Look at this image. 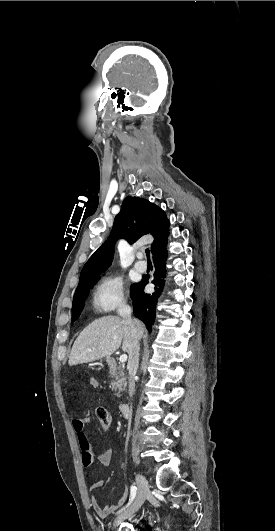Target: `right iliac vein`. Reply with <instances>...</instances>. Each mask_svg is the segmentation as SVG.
Instances as JSON below:
<instances>
[{"label": "right iliac vein", "mask_w": 275, "mask_h": 531, "mask_svg": "<svg viewBox=\"0 0 275 531\" xmlns=\"http://www.w3.org/2000/svg\"><path fill=\"white\" fill-rule=\"evenodd\" d=\"M136 482L138 487L137 497L135 498L134 502L131 504L130 507H128L125 511H123L120 515L117 516V518L114 520L113 528L118 526L123 520L133 516L140 509L145 499L147 498L149 493L147 479L143 475L138 474L136 476Z\"/></svg>", "instance_id": "1"}]
</instances>
